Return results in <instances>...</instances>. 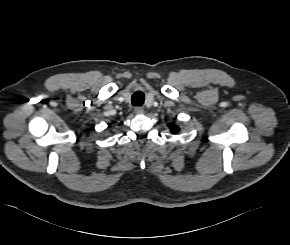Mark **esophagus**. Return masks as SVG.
Segmentation results:
<instances>
[{
  "label": "esophagus",
  "mask_w": 290,
  "mask_h": 245,
  "mask_svg": "<svg viewBox=\"0 0 290 245\" xmlns=\"http://www.w3.org/2000/svg\"><path fill=\"white\" fill-rule=\"evenodd\" d=\"M134 113L139 115L144 113V109L142 107H135L134 108Z\"/></svg>",
  "instance_id": "esophagus-1"
}]
</instances>
